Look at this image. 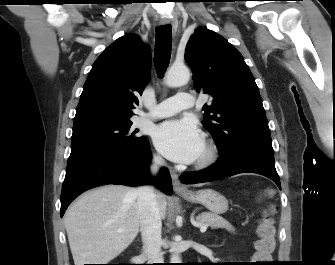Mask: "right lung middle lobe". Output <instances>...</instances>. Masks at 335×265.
<instances>
[{
    "label": "right lung middle lobe",
    "mask_w": 335,
    "mask_h": 265,
    "mask_svg": "<svg viewBox=\"0 0 335 265\" xmlns=\"http://www.w3.org/2000/svg\"><path fill=\"white\" fill-rule=\"evenodd\" d=\"M132 122H97L73 127L71 154L74 157L88 152L129 153L141 147L146 137L135 135ZM69 157V158H70Z\"/></svg>",
    "instance_id": "dd1d6c3e"
}]
</instances>
